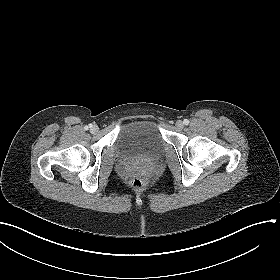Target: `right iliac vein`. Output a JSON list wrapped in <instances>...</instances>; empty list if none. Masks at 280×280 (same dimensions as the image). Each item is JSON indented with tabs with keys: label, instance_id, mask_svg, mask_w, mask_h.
Masks as SVG:
<instances>
[{
	"label": "right iliac vein",
	"instance_id": "63e3f726",
	"mask_svg": "<svg viewBox=\"0 0 280 280\" xmlns=\"http://www.w3.org/2000/svg\"><path fill=\"white\" fill-rule=\"evenodd\" d=\"M90 130L92 133H97L99 128H98V126H92Z\"/></svg>",
	"mask_w": 280,
	"mask_h": 280
}]
</instances>
